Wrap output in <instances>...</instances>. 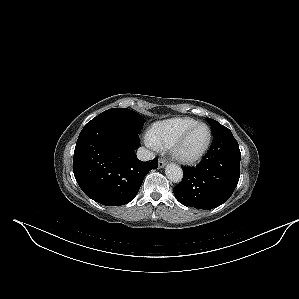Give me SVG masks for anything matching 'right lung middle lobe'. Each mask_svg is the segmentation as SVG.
<instances>
[{
	"mask_svg": "<svg viewBox=\"0 0 299 299\" xmlns=\"http://www.w3.org/2000/svg\"><path fill=\"white\" fill-rule=\"evenodd\" d=\"M98 116L110 117L119 120L137 134L141 133V128L145 122V119L140 114L127 108H112L102 112Z\"/></svg>",
	"mask_w": 299,
	"mask_h": 299,
	"instance_id": "obj_1",
	"label": "right lung middle lobe"
}]
</instances>
